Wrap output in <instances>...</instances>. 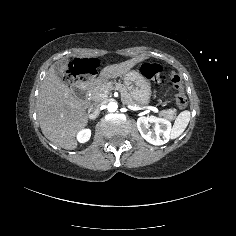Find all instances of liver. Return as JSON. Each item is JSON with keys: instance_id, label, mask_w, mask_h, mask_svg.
<instances>
[{"instance_id": "6515ba94", "label": "liver", "mask_w": 236, "mask_h": 236, "mask_svg": "<svg viewBox=\"0 0 236 236\" xmlns=\"http://www.w3.org/2000/svg\"><path fill=\"white\" fill-rule=\"evenodd\" d=\"M145 57H135L121 64L102 69L101 78H115L131 69ZM37 118L44 136L64 149L76 147L75 133L87 122L84 102L75 99L55 73L53 66L41 83L36 102Z\"/></svg>"}]
</instances>
